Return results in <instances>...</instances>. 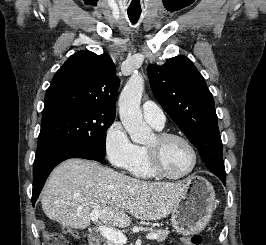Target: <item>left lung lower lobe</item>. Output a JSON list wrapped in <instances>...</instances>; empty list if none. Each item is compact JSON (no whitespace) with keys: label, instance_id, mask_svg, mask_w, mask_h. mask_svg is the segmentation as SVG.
<instances>
[{"label":"left lung lower lobe","instance_id":"obj_1","mask_svg":"<svg viewBox=\"0 0 266 245\" xmlns=\"http://www.w3.org/2000/svg\"><path fill=\"white\" fill-rule=\"evenodd\" d=\"M219 179L223 182L224 185H226V177H219Z\"/></svg>","mask_w":266,"mask_h":245}]
</instances>
